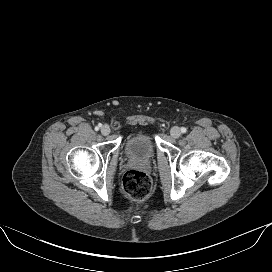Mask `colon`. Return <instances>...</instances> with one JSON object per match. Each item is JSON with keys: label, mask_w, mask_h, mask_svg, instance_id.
Masks as SVG:
<instances>
[{"label": "colon", "mask_w": 272, "mask_h": 272, "mask_svg": "<svg viewBox=\"0 0 272 272\" xmlns=\"http://www.w3.org/2000/svg\"><path fill=\"white\" fill-rule=\"evenodd\" d=\"M152 188L150 177L139 170L131 169L127 171L122 179V189L124 193L134 201L146 199Z\"/></svg>", "instance_id": "colon-1"}]
</instances>
